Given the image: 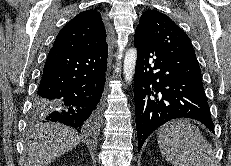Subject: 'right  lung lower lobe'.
Returning <instances> with one entry per match:
<instances>
[{"instance_id":"right-lung-lower-lobe-1","label":"right lung lower lobe","mask_w":231,"mask_h":166,"mask_svg":"<svg viewBox=\"0 0 231 166\" xmlns=\"http://www.w3.org/2000/svg\"><path fill=\"white\" fill-rule=\"evenodd\" d=\"M107 57V44L88 51L51 48L34 101L36 116L93 134L101 118Z\"/></svg>"}]
</instances>
